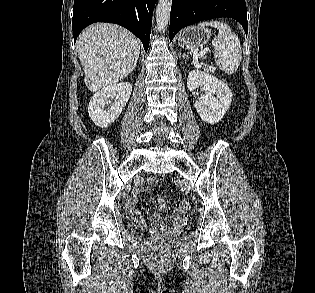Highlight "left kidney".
<instances>
[{
	"mask_svg": "<svg viewBox=\"0 0 315 293\" xmlns=\"http://www.w3.org/2000/svg\"><path fill=\"white\" fill-rule=\"evenodd\" d=\"M187 87L193 91L199 87L205 90V95L198 98L194 107L201 119L208 124L219 122L232 102V92L220 79L202 72L191 71L187 79Z\"/></svg>",
	"mask_w": 315,
	"mask_h": 293,
	"instance_id": "1",
	"label": "left kidney"
}]
</instances>
